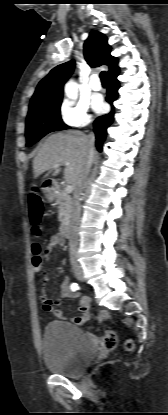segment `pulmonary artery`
I'll use <instances>...</instances> for the list:
<instances>
[{
  "label": "pulmonary artery",
  "mask_w": 168,
  "mask_h": 415,
  "mask_svg": "<svg viewBox=\"0 0 168 415\" xmlns=\"http://www.w3.org/2000/svg\"><path fill=\"white\" fill-rule=\"evenodd\" d=\"M90 87L92 90L94 91H99L102 88V84L100 82V79L98 77V75H93L90 81Z\"/></svg>",
  "instance_id": "1"
}]
</instances>
